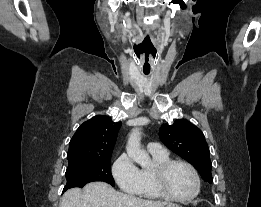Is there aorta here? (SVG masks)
<instances>
[{
	"mask_svg": "<svg viewBox=\"0 0 261 207\" xmlns=\"http://www.w3.org/2000/svg\"><path fill=\"white\" fill-rule=\"evenodd\" d=\"M141 132L139 128H135L131 131L126 151L128 156L142 168H148L151 166L152 162L146 151L141 149Z\"/></svg>",
	"mask_w": 261,
	"mask_h": 207,
	"instance_id": "1",
	"label": "aorta"
}]
</instances>
